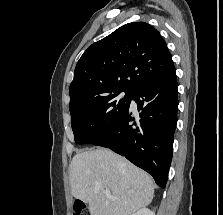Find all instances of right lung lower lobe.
Here are the masks:
<instances>
[{
	"instance_id": "obj_1",
	"label": "right lung lower lobe",
	"mask_w": 223,
	"mask_h": 215,
	"mask_svg": "<svg viewBox=\"0 0 223 215\" xmlns=\"http://www.w3.org/2000/svg\"><path fill=\"white\" fill-rule=\"evenodd\" d=\"M177 94L175 72L139 87L132 95L138 110H142L137 122L130 124L135 118L129 106L119 122L92 144L125 156L150 173L158 186L165 188L177 123Z\"/></svg>"
}]
</instances>
